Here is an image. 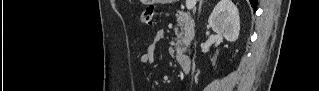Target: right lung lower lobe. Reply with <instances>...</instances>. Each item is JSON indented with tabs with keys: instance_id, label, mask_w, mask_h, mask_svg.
Masks as SVG:
<instances>
[{
	"instance_id": "obj_1",
	"label": "right lung lower lobe",
	"mask_w": 319,
	"mask_h": 91,
	"mask_svg": "<svg viewBox=\"0 0 319 91\" xmlns=\"http://www.w3.org/2000/svg\"><path fill=\"white\" fill-rule=\"evenodd\" d=\"M251 3V6L253 8L254 11H256L257 8V0H249Z\"/></svg>"
}]
</instances>
